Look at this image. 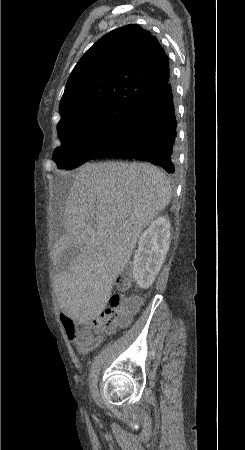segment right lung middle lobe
<instances>
[{
	"mask_svg": "<svg viewBox=\"0 0 245 450\" xmlns=\"http://www.w3.org/2000/svg\"><path fill=\"white\" fill-rule=\"evenodd\" d=\"M134 108L108 103L61 117L57 131L61 147L53 153L58 169H74L103 152L124 133Z\"/></svg>",
	"mask_w": 245,
	"mask_h": 450,
	"instance_id": "right-lung-middle-lobe-1",
	"label": "right lung middle lobe"
}]
</instances>
